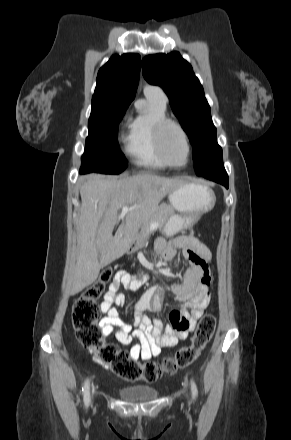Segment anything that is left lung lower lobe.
Masks as SVG:
<instances>
[{"label":"left lung lower lobe","instance_id":"left-lung-lower-lobe-1","mask_svg":"<svg viewBox=\"0 0 291 440\" xmlns=\"http://www.w3.org/2000/svg\"><path fill=\"white\" fill-rule=\"evenodd\" d=\"M202 177H205L209 180L215 181L217 183H220L224 185L226 188H228V175L224 169L223 162L217 163L215 166H213L211 169L205 171L201 175Z\"/></svg>","mask_w":291,"mask_h":440}]
</instances>
